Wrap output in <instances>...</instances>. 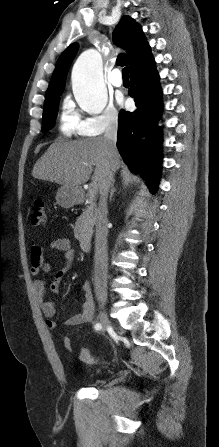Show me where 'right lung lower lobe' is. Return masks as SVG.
Returning a JSON list of instances; mask_svg holds the SVG:
<instances>
[{
	"mask_svg": "<svg viewBox=\"0 0 219 447\" xmlns=\"http://www.w3.org/2000/svg\"><path fill=\"white\" fill-rule=\"evenodd\" d=\"M161 94L152 58L130 73L129 95L137 109L121 110L118 118L117 148L128 167L146 179L152 193L158 186L161 166V135L156 123L163 108Z\"/></svg>",
	"mask_w": 219,
	"mask_h": 447,
	"instance_id": "right-lung-lower-lobe-1",
	"label": "right lung lower lobe"
}]
</instances>
